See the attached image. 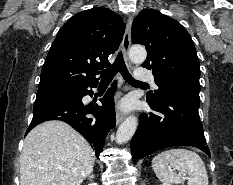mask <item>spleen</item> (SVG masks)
Here are the masks:
<instances>
[{"label":"spleen","instance_id":"1","mask_svg":"<svg viewBox=\"0 0 233 185\" xmlns=\"http://www.w3.org/2000/svg\"><path fill=\"white\" fill-rule=\"evenodd\" d=\"M152 168L163 185H208V175L200 156L191 150L173 148L161 152L152 159ZM174 170L179 171L178 174ZM186 175H188L186 177Z\"/></svg>","mask_w":233,"mask_h":185}]
</instances>
